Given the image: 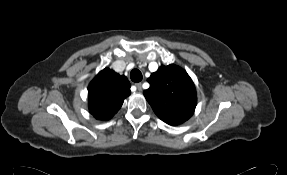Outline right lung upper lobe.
Returning a JSON list of instances; mask_svg holds the SVG:
<instances>
[{
	"label": "right lung upper lobe",
	"mask_w": 287,
	"mask_h": 175,
	"mask_svg": "<svg viewBox=\"0 0 287 175\" xmlns=\"http://www.w3.org/2000/svg\"><path fill=\"white\" fill-rule=\"evenodd\" d=\"M130 87L126 76L103 69L88 87L90 113L98 120L110 119L130 95Z\"/></svg>",
	"instance_id": "right-lung-upper-lobe-1"
}]
</instances>
